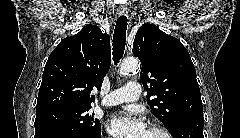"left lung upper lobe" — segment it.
I'll return each mask as SVG.
<instances>
[{
  "label": "left lung upper lobe",
  "mask_w": 240,
  "mask_h": 138,
  "mask_svg": "<svg viewBox=\"0 0 240 138\" xmlns=\"http://www.w3.org/2000/svg\"><path fill=\"white\" fill-rule=\"evenodd\" d=\"M133 54L142 64L147 103L169 131L188 116L203 115L195 67L177 38L155 25H143L136 33ZM150 96L156 98L149 100Z\"/></svg>",
  "instance_id": "left-lung-upper-lobe-1"
}]
</instances>
